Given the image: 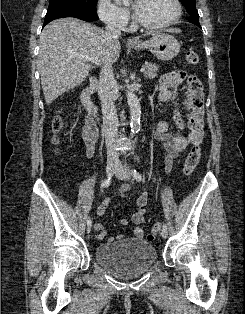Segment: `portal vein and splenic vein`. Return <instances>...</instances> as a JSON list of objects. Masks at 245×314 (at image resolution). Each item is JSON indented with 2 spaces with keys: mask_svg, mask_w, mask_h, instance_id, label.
Returning <instances> with one entry per match:
<instances>
[{
  "mask_svg": "<svg viewBox=\"0 0 245 314\" xmlns=\"http://www.w3.org/2000/svg\"><path fill=\"white\" fill-rule=\"evenodd\" d=\"M76 56H78V57H80V58H83V59H85L86 61L91 62V63H94V64H96V65H101V62H100L97 58H95V57H91V56H87V55H83V54H76ZM140 72H141V73L145 72V68L142 67V68L140 69Z\"/></svg>",
  "mask_w": 245,
  "mask_h": 314,
  "instance_id": "obj_1",
  "label": "portal vein and splenic vein"
}]
</instances>
